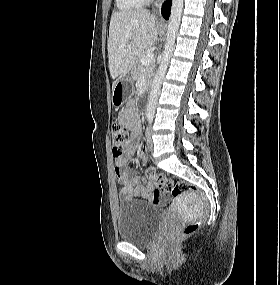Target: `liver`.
I'll return each mask as SVG.
<instances>
[{"mask_svg":"<svg viewBox=\"0 0 280 285\" xmlns=\"http://www.w3.org/2000/svg\"><path fill=\"white\" fill-rule=\"evenodd\" d=\"M157 40L156 19L148 10L117 11L112 14L108 39L109 70L115 80L112 89L131 70L137 57Z\"/></svg>","mask_w":280,"mask_h":285,"instance_id":"6515ba94","label":"liver"}]
</instances>
